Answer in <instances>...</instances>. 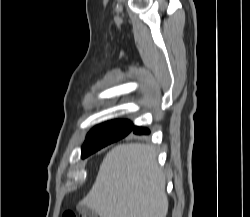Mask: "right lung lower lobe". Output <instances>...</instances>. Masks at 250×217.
<instances>
[{
	"label": "right lung lower lobe",
	"instance_id": "right-lung-lower-lobe-1",
	"mask_svg": "<svg viewBox=\"0 0 250 217\" xmlns=\"http://www.w3.org/2000/svg\"><path fill=\"white\" fill-rule=\"evenodd\" d=\"M132 132L135 134H149V130L147 128H140L137 126H134Z\"/></svg>",
	"mask_w": 250,
	"mask_h": 217
}]
</instances>
